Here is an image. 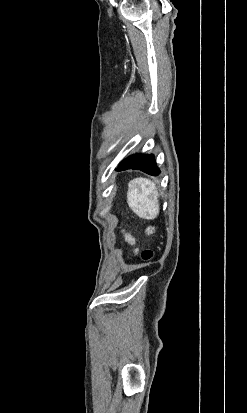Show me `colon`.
<instances>
[{
	"label": "colon",
	"mask_w": 247,
	"mask_h": 413,
	"mask_svg": "<svg viewBox=\"0 0 247 413\" xmlns=\"http://www.w3.org/2000/svg\"><path fill=\"white\" fill-rule=\"evenodd\" d=\"M139 257L143 262L149 263L154 258V251L149 249L143 250L139 253Z\"/></svg>",
	"instance_id": "1"
}]
</instances>
